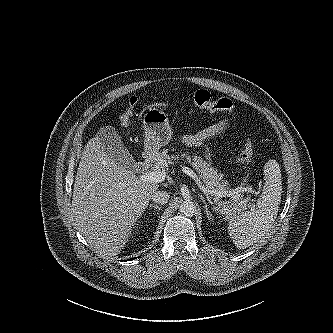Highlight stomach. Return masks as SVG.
Returning <instances> with one entry per match:
<instances>
[{"label":"stomach","mask_w":333,"mask_h":333,"mask_svg":"<svg viewBox=\"0 0 333 333\" xmlns=\"http://www.w3.org/2000/svg\"><path fill=\"white\" fill-rule=\"evenodd\" d=\"M145 131V154L155 156L159 149L166 146L172 137L167 115L158 109H149L143 117Z\"/></svg>","instance_id":"stomach-1"}]
</instances>
